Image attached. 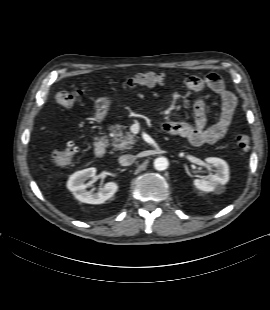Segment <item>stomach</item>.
<instances>
[{
	"label": "stomach",
	"instance_id": "stomach-1",
	"mask_svg": "<svg viewBox=\"0 0 270 310\" xmlns=\"http://www.w3.org/2000/svg\"><path fill=\"white\" fill-rule=\"evenodd\" d=\"M110 105L111 100L108 97H100L94 101V115L98 122L106 117Z\"/></svg>",
	"mask_w": 270,
	"mask_h": 310
}]
</instances>
